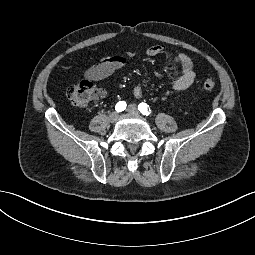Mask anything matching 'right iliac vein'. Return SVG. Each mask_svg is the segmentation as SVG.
<instances>
[{
    "label": "right iliac vein",
    "mask_w": 255,
    "mask_h": 255,
    "mask_svg": "<svg viewBox=\"0 0 255 255\" xmlns=\"http://www.w3.org/2000/svg\"><path fill=\"white\" fill-rule=\"evenodd\" d=\"M118 117H119L118 113L112 112V113L109 115V121H110L111 123H115V122L118 120Z\"/></svg>",
    "instance_id": "obj_1"
}]
</instances>
